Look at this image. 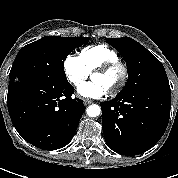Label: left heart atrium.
Listing matches in <instances>:
<instances>
[{"label": "left heart atrium", "mask_w": 178, "mask_h": 178, "mask_svg": "<svg viewBox=\"0 0 178 178\" xmlns=\"http://www.w3.org/2000/svg\"><path fill=\"white\" fill-rule=\"evenodd\" d=\"M77 91L81 97L87 99H99L108 93V89L102 83L93 80L81 84Z\"/></svg>", "instance_id": "obj_1"}]
</instances>
